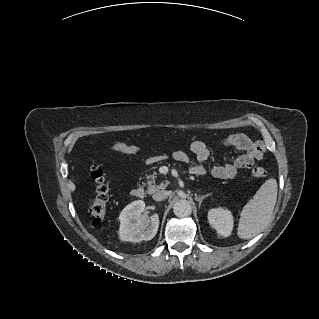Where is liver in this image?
Returning <instances> with one entry per match:
<instances>
[{"mask_svg":"<svg viewBox=\"0 0 319 319\" xmlns=\"http://www.w3.org/2000/svg\"><path fill=\"white\" fill-rule=\"evenodd\" d=\"M71 188L72 190H75V185L73 183L71 184Z\"/></svg>","mask_w":319,"mask_h":319,"instance_id":"6515ba94","label":"liver"}]
</instances>
